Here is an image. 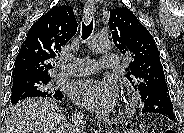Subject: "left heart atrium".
Returning a JSON list of instances; mask_svg holds the SVG:
<instances>
[{"label":"left heart atrium","mask_w":184,"mask_h":133,"mask_svg":"<svg viewBox=\"0 0 184 133\" xmlns=\"http://www.w3.org/2000/svg\"><path fill=\"white\" fill-rule=\"evenodd\" d=\"M70 95L81 107L103 114L116 105L118 88L112 80L80 79L72 83Z\"/></svg>","instance_id":"39dd6f15"}]
</instances>
